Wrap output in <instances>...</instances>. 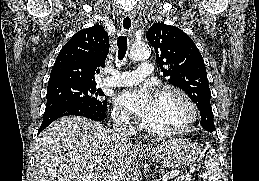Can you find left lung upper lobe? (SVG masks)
<instances>
[{
  "instance_id": "obj_1",
  "label": "left lung upper lobe",
  "mask_w": 259,
  "mask_h": 181,
  "mask_svg": "<svg viewBox=\"0 0 259 181\" xmlns=\"http://www.w3.org/2000/svg\"><path fill=\"white\" fill-rule=\"evenodd\" d=\"M146 38L155 49L163 76L195 102L201 114V126L215 132L206 68L193 40L181 29L164 23L153 24Z\"/></svg>"
}]
</instances>
